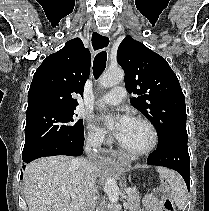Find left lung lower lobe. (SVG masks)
Masks as SVG:
<instances>
[{
	"label": "left lung lower lobe",
	"instance_id": "obj_1",
	"mask_svg": "<svg viewBox=\"0 0 209 211\" xmlns=\"http://www.w3.org/2000/svg\"><path fill=\"white\" fill-rule=\"evenodd\" d=\"M187 138V133L175 134L148 156L147 164L176 170L182 175L190 189V157Z\"/></svg>",
	"mask_w": 209,
	"mask_h": 211
}]
</instances>
